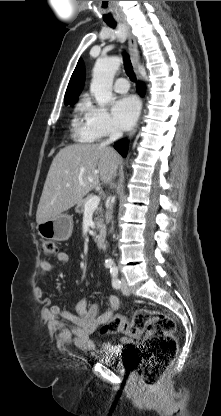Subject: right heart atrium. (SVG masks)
I'll return each mask as SVG.
<instances>
[{"label": "right heart atrium", "instance_id": "d8ad5b80", "mask_svg": "<svg viewBox=\"0 0 221 416\" xmlns=\"http://www.w3.org/2000/svg\"><path fill=\"white\" fill-rule=\"evenodd\" d=\"M82 114L80 130L86 138L101 140L120 135V130L110 113L104 107L93 104L90 99L83 102Z\"/></svg>", "mask_w": 221, "mask_h": 416}]
</instances>
